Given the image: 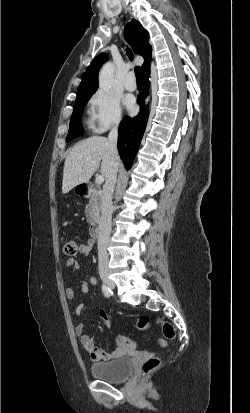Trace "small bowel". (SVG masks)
I'll return each mask as SVG.
<instances>
[{
	"mask_svg": "<svg viewBox=\"0 0 250 413\" xmlns=\"http://www.w3.org/2000/svg\"><path fill=\"white\" fill-rule=\"evenodd\" d=\"M93 240H88L86 243L79 244L78 252L74 256H69L65 259L64 265L66 268H73L78 270L80 268L77 261L78 255L87 256L90 254L93 247ZM97 279L94 276L89 277L88 281L81 280L78 282V288L69 287L66 289L65 294L68 299H73L77 295V292L87 293L89 290V285H96ZM85 303H79L75 308V314L80 316L85 309ZM85 324L80 323L76 326L75 332L79 338L82 347L88 352L93 361H107L119 357L122 355L126 348L116 340V348L112 352H107L103 348L97 346L91 336L85 333Z\"/></svg>",
	"mask_w": 250,
	"mask_h": 413,
	"instance_id": "obj_1",
	"label": "small bowel"
}]
</instances>
